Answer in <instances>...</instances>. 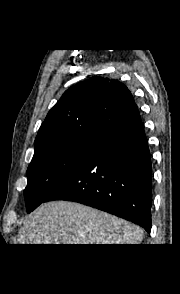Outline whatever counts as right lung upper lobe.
<instances>
[{
    "mask_svg": "<svg viewBox=\"0 0 180 294\" xmlns=\"http://www.w3.org/2000/svg\"><path fill=\"white\" fill-rule=\"evenodd\" d=\"M136 110L130 91L119 81L93 77L79 82L49 111L35 139L34 154L74 139L100 141Z\"/></svg>",
    "mask_w": 180,
    "mask_h": 294,
    "instance_id": "obj_1",
    "label": "right lung upper lobe"
}]
</instances>
